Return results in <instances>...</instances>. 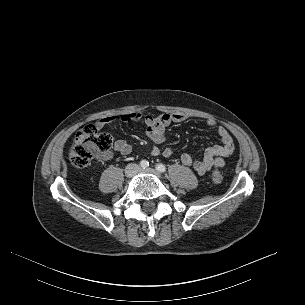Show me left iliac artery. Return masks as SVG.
<instances>
[{
	"label": "left iliac artery",
	"mask_w": 305,
	"mask_h": 305,
	"mask_svg": "<svg viewBox=\"0 0 305 305\" xmlns=\"http://www.w3.org/2000/svg\"><path fill=\"white\" fill-rule=\"evenodd\" d=\"M156 169L159 171V172H165L166 171V167L165 165L159 163L156 165Z\"/></svg>",
	"instance_id": "left-iliac-artery-1"
}]
</instances>
